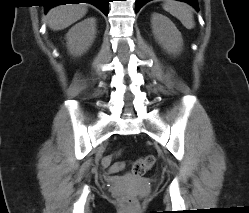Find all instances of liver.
<instances>
[{
	"instance_id": "1",
	"label": "liver",
	"mask_w": 249,
	"mask_h": 213,
	"mask_svg": "<svg viewBox=\"0 0 249 213\" xmlns=\"http://www.w3.org/2000/svg\"><path fill=\"white\" fill-rule=\"evenodd\" d=\"M86 13L87 5L83 3L60 5L49 10L46 21L52 30L58 31L69 27Z\"/></svg>"
}]
</instances>
